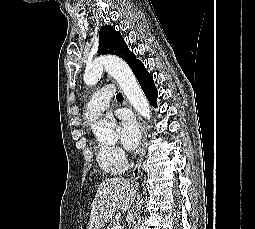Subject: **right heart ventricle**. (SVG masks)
<instances>
[{
    "mask_svg": "<svg viewBox=\"0 0 255 229\" xmlns=\"http://www.w3.org/2000/svg\"><path fill=\"white\" fill-rule=\"evenodd\" d=\"M95 151L97 162L100 168L106 173L111 175H119L126 170L127 164L125 160L116 158L113 154L111 146L98 144L95 147Z\"/></svg>",
    "mask_w": 255,
    "mask_h": 229,
    "instance_id": "1",
    "label": "right heart ventricle"
}]
</instances>
